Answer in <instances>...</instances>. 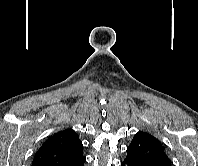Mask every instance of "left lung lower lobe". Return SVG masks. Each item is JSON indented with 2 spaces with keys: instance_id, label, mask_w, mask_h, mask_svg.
I'll list each match as a JSON object with an SVG mask.
<instances>
[{
  "instance_id": "0a47b994",
  "label": "left lung lower lobe",
  "mask_w": 198,
  "mask_h": 166,
  "mask_svg": "<svg viewBox=\"0 0 198 166\" xmlns=\"http://www.w3.org/2000/svg\"><path fill=\"white\" fill-rule=\"evenodd\" d=\"M121 166H135V165L127 160H124L123 162H121Z\"/></svg>"
}]
</instances>
